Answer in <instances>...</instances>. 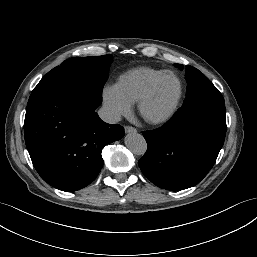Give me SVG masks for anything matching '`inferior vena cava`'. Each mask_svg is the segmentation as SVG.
<instances>
[{
    "mask_svg": "<svg viewBox=\"0 0 257 257\" xmlns=\"http://www.w3.org/2000/svg\"><path fill=\"white\" fill-rule=\"evenodd\" d=\"M98 115L104 122L109 124H115L121 119V116L118 112L105 106L99 109Z\"/></svg>",
    "mask_w": 257,
    "mask_h": 257,
    "instance_id": "obj_1",
    "label": "inferior vena cava"
}]
</instances>
